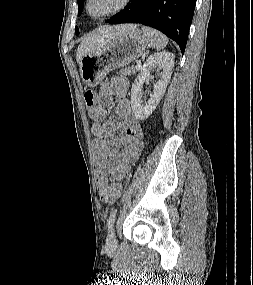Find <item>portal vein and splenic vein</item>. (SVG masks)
I'll use <instances>...</instances> for the list:
<instances>
[{
  "label": "portal vein and splenic vein",
  "mask_w": 253,
  "mask_h": 285,
  "mask_svg": "<svg viewBox=\"0 0 253 285\" xmlns=\"http://www.w3.org/2000/svg\"><path fill=\"white\" fill-rule=\"evenodd\" d=\"M136 68H137V69H140V68H141V62H138V63H137Z\"/></svg>",
  "instance_id": "1"
}]
</instances>
